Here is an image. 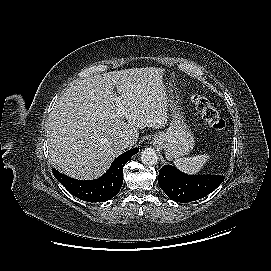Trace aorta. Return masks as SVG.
Listing matches in <instances>:
<instances>
[{
	"instance_id": "aorta-1",
	"label": "aorta",
	"mask_w": 271,
	"mask_h": 271,
	"mask_svg": "<svg viewBox=\"0 0 271 271\" xmlns=\"http://www.w3.org/2000/svg\"><path fill=\"white\" fill-rule=\"evenodd\" d=\"M142 162L147 166L155 165L158 162V155L152 148H145L141 152Z\"/></svg>"
}]
</instances>
